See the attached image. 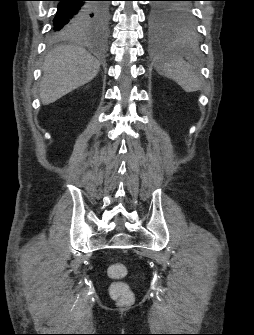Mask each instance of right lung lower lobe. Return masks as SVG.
<instances>
[{
    "label": "right lung lower lobe",
    "mask_w": 254,
    "mask_h": 335,
    "mask_svg": "<svg viewBox=\"0 0 254 335\" xmlns=\"http://www.w3.org/2000/svg\"><path fill=\"white\" fill-rule=\"evenodd\" d=\"M57 12L53 20L52 35H60L67 32L91 33V27L98 19L97 4L99 0H57Z\"/></svg>",
    "instance_id": "obj_1"
}]
</instances>
